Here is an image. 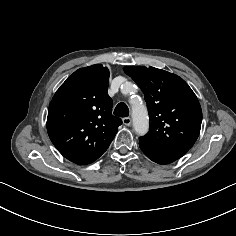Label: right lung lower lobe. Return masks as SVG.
Listing matches in <instances>:
<instances>
[{
    "instance_id": "obj_1",
    "label": "right lung lower lobe",
    "mask_w": 236,
    "mask_h": 236,
    "mask_svg": "<svg viewBox=\"0 0 236 236\" xmlns=\"http://www.w3.org/2000/svg\"><path fill=\"white\" fill-rule=\"evenodd\" d=\"M69 160L79 165H86L93 162V161H83V160H76V159H69Z\"/></svg>"
}]
</instances>
